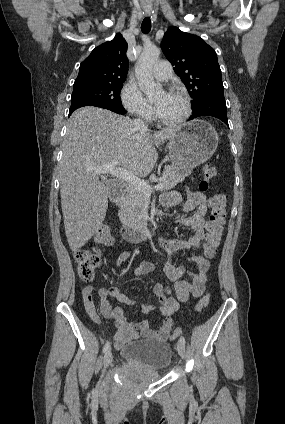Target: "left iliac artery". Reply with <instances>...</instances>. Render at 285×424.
I'll list each match as a JSON object with an SVG mask.
<instances>
[{"mask_svg":"<svg viewBox=\"0 0 285 424\" xmlns=\"http://www.w3.org/2000/svg\"><path fill=\"white\" fill-rule=\"evenodd\" d=\"M179 341L185 345V338L183 336L180 337Z\"/></svg>","mask_w":285,"mask_h":424,"instance_id":"1","label":"left iliac artery"}]
</instances>
